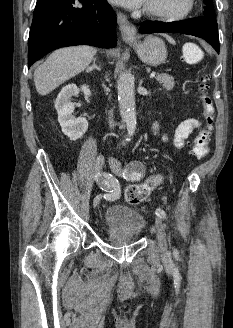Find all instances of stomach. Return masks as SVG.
<instances>
[{
  "label": "stomach",
  "instance_id": "stomach-1",
  "mask_svg": "<svg viewBox=\"0 0 233 328\" xmlns=\"http://www.w3.org/2000/svg\"><path fill=\"white\" fill-rule=\"evenodd\" d=\"M137 55L146 64L158 66L167 58V48L159 37L147 35L143 39H130Z\"/></svg>",
  "mask_w": 233,
  "mask_h": 328
}]
</instances>
